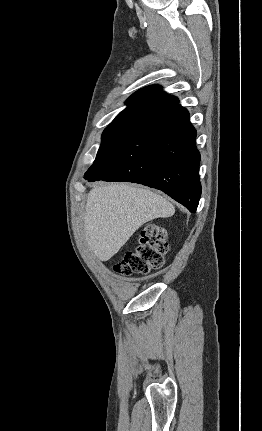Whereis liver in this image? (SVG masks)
I'll return each instance as SVG.
<instances>
[{"mask_svg":"<svg viewBox=\"0 0 262 431\" xmlns=\"http://www.w3.org/2000/svg\"><path fill=\"white\" fill-rule=\"evenodd\" d=\"M174 213L171 202L146 188L125 183L94 187L87 197L85 240L99 260L107 261L144 223Z\"/></svg>","mask_w":262,"mask_h":431,"instance_id":"1","label":"liver"}]
</instances>
